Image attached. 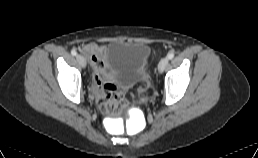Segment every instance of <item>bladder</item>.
I'll return each instance as SVG.
<instances>
[{
  "label": "bladder",
  "instance_id": "obj_1",
  "mask_svg": "<svg viewBox=\"0 0 258 158\" xmlns=\"http://www.w3.org/2000/svg\"><path fill=\"white\" fill-rule=\"evenodd\" d=\"M151 47L143 42L114 41L104 51L109 76L123 87L131 88L149 76Z\"/></svg>",
  "mask_w": 258,
  "mask_h": 158
}]
</instances>
